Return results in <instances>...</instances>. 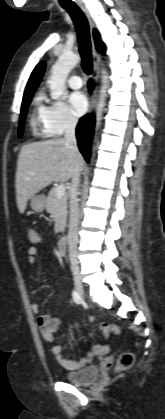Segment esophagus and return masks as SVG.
Listing matches in <instances>:
<instances>
[{"instance_id":"esophagus-1","label":"esophagus","mask_w":165,"mask_h":419,"mask_svg":"<svg viewBox=\"0 0 165 419\" xmlns=\"http://www.w3.org/2000/svg\"><path fill=\"white\" fill-rule=\"evenodd\" d=\"M80 8L82 9V11L84 12V14L86 15L88 22H89V26H90V34H91V49H92V63H93V67H92V80L94 83H97L98 79H99V69H98V65L101 61L100 55L97 52L96 49V45H95V41H94V37H93V30L96 27L95 21L92 18L89 10L82 4L79 5ZM96 100V89H94L89 97V112L92 111L94 103Z\"/></svg>"}]
</instances>
